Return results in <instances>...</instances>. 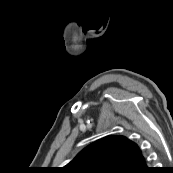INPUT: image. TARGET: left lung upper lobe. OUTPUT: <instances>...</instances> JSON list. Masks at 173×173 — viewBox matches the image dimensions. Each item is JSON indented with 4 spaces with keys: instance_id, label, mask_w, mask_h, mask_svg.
Wrapping results in <instances>:
<instances>
[{
    "instance_id": "obj_1",
    "label": "left lung upper lobe",
    "mask_w": 173,
    "mask_h": 173,
    "mask_svg": "<svg viewBox=\"0 0 173 173\" xmlns=\"http://www.w3.org/2000/svg\"><path fill=\"white\" fill-rule=\"evenodd\" d=\"M146 160L140 148L124 136H107L83 149L65 173H141Z\"/></svg>"
}]
</instances>
